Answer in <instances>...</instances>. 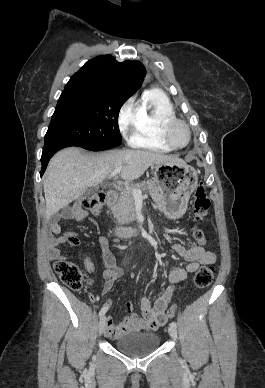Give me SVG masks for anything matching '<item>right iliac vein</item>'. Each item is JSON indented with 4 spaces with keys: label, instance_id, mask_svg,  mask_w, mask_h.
<instances>
[{
    "label": "right iliac vein",
    "instance_id": "63e3f726",
    "mask_svg": "<svg viewBox=\"0 0 265 388\" xmlns=\"http://www.w3.org/2000/svg\"><path fill=\"white\" fill-rule=\"evenodd\" d=\"M105 326H106V317L102 316L100 319V322H99V327H98L99 335H102V333L105 330Z\"/></svg>",
    "mask_w": 265,
    "mask_h": 388
}]
</instances>
